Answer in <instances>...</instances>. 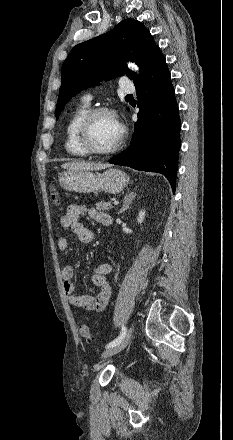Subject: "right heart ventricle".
Instances as JSON below:
<instances>
[{
  "label": "right heart ventricle",
  "instance_id": "1",
  "mask_svg": "<svg viewBox=\"0 0 233 440\" xmlns=\"http://www.w3.org/2000/svg\"><path fill=\"white\" fill-rule=\"evenodd\" d=\"M88 110L89 106L87 103L78 105L67 122L65 129V149L71 156L86 157L88 155L77 142L78 125Z\"/></svg>",
  "mask_w": 233,
  "mask_h": 440
}]
</instances>
